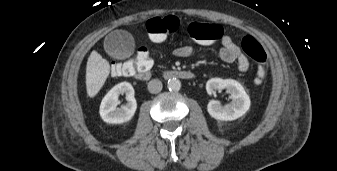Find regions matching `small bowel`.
<instances>
[{
    "label": "small bowel",
    "instance_id": "1",
    "mask_svg": "<svg viewBox=\"0 0 337 171\" xmlns=\"http://www.w3.org/2000/svg\"><path fill=\"white\" fill-rule=\"evenodd\" d=\"M193 52V48L189 45H180L173 51L174 55L180 58L190 57ZM218 56L224 62H236L241 72H247L249 70L250 64L247 57L228 35L223 36L221 39V47L218 50Z\"/></svg>",
    "mask_w": 337,
    "mask_h": 171
}]
</instances>
